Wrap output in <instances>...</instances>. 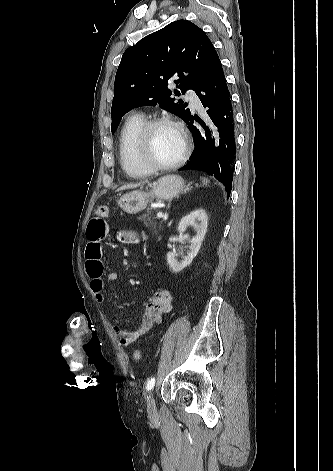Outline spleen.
<instances>
[{"instance_id":"3e777b00","label":"spleen","mask_w":333,"mask_h":471,"mask_svg":"<svg viewBox=\"0 0 333 471\" xmlns=\"http://www.w3.org/2000/svg\"><path fill=\"white\" fill-rule=\"evenodd\" d=\"M202 183L203 185H207L208 184V180L206 178H202Z\"/></svg>"}]
</instances>
